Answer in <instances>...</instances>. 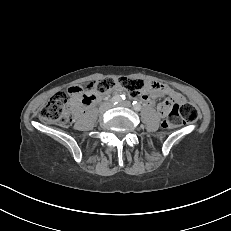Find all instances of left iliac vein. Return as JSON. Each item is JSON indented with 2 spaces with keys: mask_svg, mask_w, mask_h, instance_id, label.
<instances>
[{
  "mask_svg": "<svg viewBox=\"0 0 231 231\" xmlns=\"http://www.w3.org/2000/svg\"><path fill=\"white\" fill-rule=\"evenodd\" d=\"M118 106L130 108L131 107V102L130 101H124V102L118 104Z\"/></svg>",
  "mask_w": 231,
  "mask_h": 231,
  "instance_id": "1",
  "label": "left iliac vein"
}]
</instances>
